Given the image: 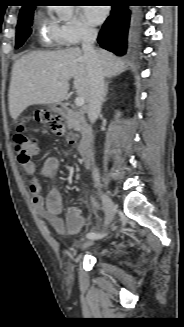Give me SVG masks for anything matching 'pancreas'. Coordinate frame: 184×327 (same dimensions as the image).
<instances>
[{
  "label": "pancreas",
  "mask_w": 184,
  "mask_h": 327,
  "mask_svg": "<svg viewBox=\"0 0 184 327\" xmlns=\"http://www.w3.org/2000/svg\"><path fill=\"white\" fill-rule=\"evenodd\" d=\"M68 128H74L77 131H80L79 121L74 118H69L67 121Z\"/></svg>",
  "instance_id": "1"
}]
</instances>
